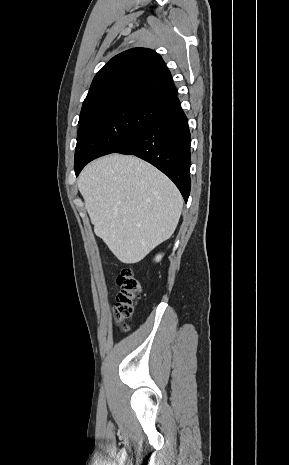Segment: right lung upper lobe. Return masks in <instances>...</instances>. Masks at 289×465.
Segmentation results:
<instances>
[{
  "instance_id": "obj_1",
  "label": "right lung upper lobe",
  "mask_w": 289,
  "mask_h": 465,
  "mask_svg": "<svg viewBox=\"0 0 289 465\" xmlns=\"http://www.w3.org/2000/svg\"><path fill=\"white\" fill-rule=\"evenodd\" d=\"M177 95L162 57L151 49L133 48L113 57L93 79L79 122L124 101L163 104Z\"/></svg>"
}]
</instances>
